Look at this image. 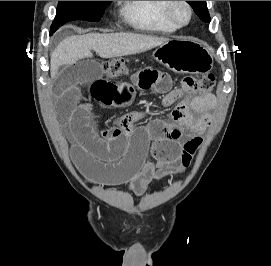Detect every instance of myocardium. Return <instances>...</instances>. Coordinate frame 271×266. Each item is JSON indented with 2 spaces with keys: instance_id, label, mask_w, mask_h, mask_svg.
I'll return each instance as SVG.
<instances>
[{
  "instance_id": "f54148a6",
  "label": "myocardium",
  "mask_w": 271,
  "mask_h": 266,
  "mask_svg": "<svg viewBox=\"0 0 271 266\" xmlns=\"http://www.w3.org/2000/svg\"><path fill=\"white\" fill-rule=\"evenodd\" d=\"M178 4H183L188 10V19L185 22L180 21L174 12V8ZM166 13L169 19L177 26V27H184L190 24L193 19L194 10L189 1H167L166 5Z\"/></svg>"
}]
</instances>
